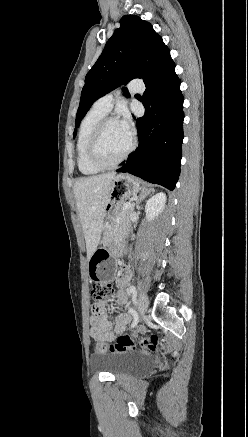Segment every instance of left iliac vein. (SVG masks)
I'll list each match as a JSON object with an SVG mask.
<instances>
[{"label": "left iliac vein", "mask_w": 248, "mask_h": 437, "mask_svg": "<svg viewBox=\"0 0 248 437\" xmlns=\"http://www.w3.org/2000/svg\"><path fill=\"white\" fill-rule=\"evenodd\" d=\"M149 299L146 293H141L138 297V312L142 318L148 308Z\"/></svg>", "instance_id": "left-iliac-vein-1"}]
</instances>
